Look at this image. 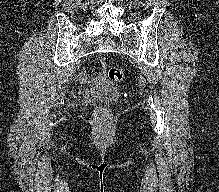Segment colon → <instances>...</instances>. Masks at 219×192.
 <instances>
[{"instance_id":"obj_1","label":"colon","mask_w":219,"mask_h":192,"mask_svg":"<svg viewBox=\"0 0 219 192\" xmlns=\"http://www.w3.org/2000/svg\"><path fill=\"white\" fill-rule=\"evenodd\" d=\"M107 76L111 81H120L123 78V72L119 68L111 67L107 71ZM93 118L98 126H106L109 122L108 108L105 106L96 108Z\"/></svg>"}]
</instances>
